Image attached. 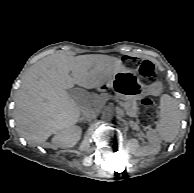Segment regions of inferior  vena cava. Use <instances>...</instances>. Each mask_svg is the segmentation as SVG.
Instances as JSON below:
<instances>
[{"label": "inferior vena cava", "mask_w": 194, "mask_h": 193, "mask_svg": "<svg viewBox=\"0 0 194 193\" xmlns=\"http://www.w3.org/2000/svg\"><path fill=\"white\" fill-rule=\"evenodd\" d=\"M97 115H98V112L96 110L89 109L85 112L83 119L89 121L91 119L96 118Z\"/></svg>", "instance_id": "obj_1"}]
</instances>
